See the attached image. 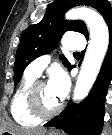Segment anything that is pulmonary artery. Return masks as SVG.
I'll return each instance as SVG.
<instances>
[{
	"label": "pulmonary artery",
	"instance_id": "e3ab8cb5",
	"mask_svg": "<svg viewBox=\"0 0 112 135\" xmlns=\"http://www.w3.org/2000/svg\"><path fill=\"white\" fill-rule=\"evenodd\" d=\"M64 47L70 51H81L85 46V40L81 34L73 33L65 35ZM50 61L49 55L41 56L33 61L26 69V74L38 77Z\"/></svg>",
	"mask_w": 112,
	"mask_h": 135
}]
</instances>
